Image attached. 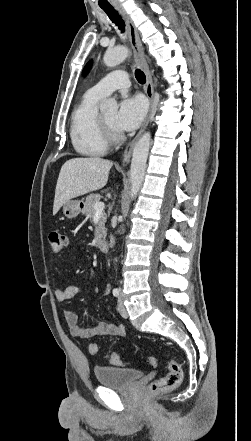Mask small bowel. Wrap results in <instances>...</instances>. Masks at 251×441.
<instances>
[{"mask_svg":"<svg viewBox=\"0 0 251 441\" xmlns=\"http://www.w3.org/2000/svg\"><path fill=\"white\" fill-rule=\"evenodd\" d=\"M108 289V284H105L102 291L103 294H107ZM80 290V287L70 284L63 289H56L55 297L59 302H66L75 297ZM63 314L71 333L79 338H93L97 336L122 337L126 334V329L123 325H116L108 322H98L92 327H84L79 323L78 316L75 313L69 310H64Z\"/></svg>","mask_w":251,"mask_h":441,"instance_id":"1","label":"small bowel"}]
</instances>
